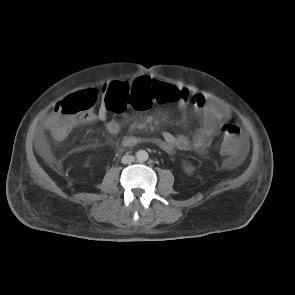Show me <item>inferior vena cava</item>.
I'll return each mask as SVG.
<instances>
[{"label": "inferior vena cava", "mask_w": 295, "mask_h": 295, "mask_svg": "<svg viewBox=\"0 0 295 295\" xmlns=\"http://www.w3.org/2000/svg\"><path fill=\"white\" fill-rule=\"evenodd\" d=\"M135 160L134 156L132 155H124L121 159L123 164H130Z\"/></svg>", "instance_id": "1"}]
</instances>
